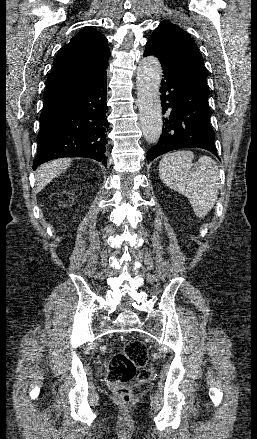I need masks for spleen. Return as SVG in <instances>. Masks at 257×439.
Returning a JSON list of instances; mask_svg holds the SVG:
<instances>
[{
    "mask_svg": "<svg viewBox=\"0 0 257 439\" xmlns=\"http://www.w3.org/2000/svg\"><path fill=\"white\" fill-rule=\"evenodd\" d=\"M194 154L179 150L163 156L159 163L161 181L185 195L198 218L213 208L219 194L220 178L216 162L204 155L192 163Z\"/></svg>",
    "mask_w": 257,
    "mask_h": 439,
    "instance_id": "3e777b00",
    "label": "spleen"
}]
</instances>
